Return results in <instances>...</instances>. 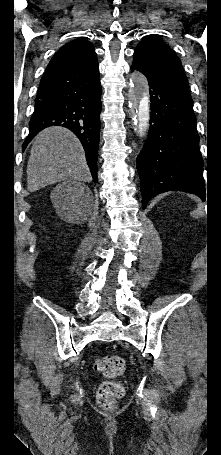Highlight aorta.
I'll return each mask as SVG.
<instances>
[{
    "instance_id": "obj_1",
    "label": "aorta",
    "mask_w": 221,
    "mask_h": 455,
    "mask_svg": "<svg viewBox=\"0 0 221 455\" xmlns=\"http://www.w3.org/2000/svg\"><path fill=\"white\" fill-rule=\"evenodd\" d=\"M128 103L135 133L141 138L149 129L150 101L144 88V77L134 72L128 83Z\"/></svg>"
}]
</instances>
